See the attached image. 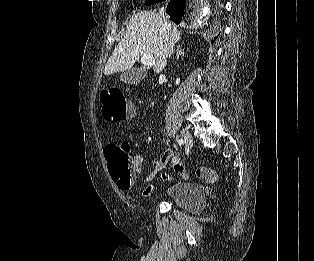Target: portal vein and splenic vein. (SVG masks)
Listing matches in <instances>:
<instances>
[{
	"instance_id": "1",
	"label": "portal vein and splenic vein",
	"mask_w": 314,
	"mask_h": 261,
	"mask_svg": "<svg viewBox=\"0 0 314 261\" xmlns=\"http://www.w3.org/2000/svg\"><path fill=\"white\" fill-rule=\"evenodd\" d=\"M142 64L145 66H154L155 65V59L153 55L151 54H144L141 58Z\"/></svg>"
}]
</instances>
